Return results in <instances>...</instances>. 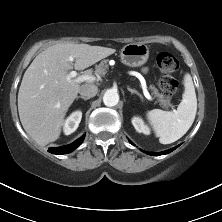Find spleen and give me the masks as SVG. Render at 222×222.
Wrapping results in <instances>:
<instances>
[{
    "instance_id": "1",
    "label": "spleen",
    "mask_w": 222,
    "mask_h": 222,
    "mask_svg": "<svg viewBox=\"0 0 222 222\" xmlns=\"http://www.w3.org/2000/svg\"><path fill=\"white\" fill-rule=\"evenodd\" d=\"M197 112V98L192 77L184 76V93L176 111L153 109L146 116L159 142L170 144L180 139L192 126Z\"/></svg>"
}]
</instances>
